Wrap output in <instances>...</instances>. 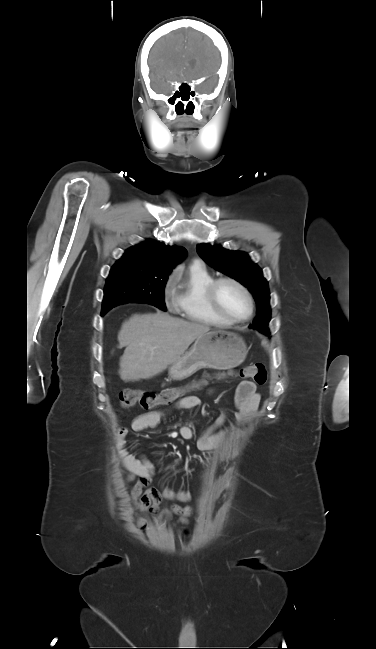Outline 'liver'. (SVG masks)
<instances>
[{
  "label": "liver",
  "instance_id": "6515ba94",
  "mask_svg": "<svg viewBox=\"0 0 376 649\" xmlns=\"http://www.w3.org/2000/svg\"><path fill=\"white\" fill-rule=\"evenodd\" d=\"M208 331L207 325L163 312L133 315L118 333L119 348L126 347L119 363L120 378L124 382H135L156 376Z\"/></svg>",
  "mask_w": 376,
  "mask_h": 649
}]
</instances>
